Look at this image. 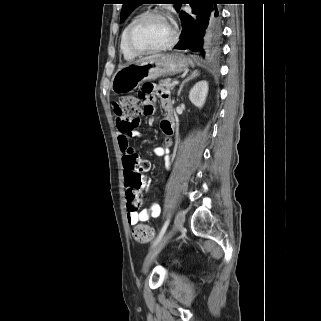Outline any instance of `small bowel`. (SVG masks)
<instances>
[{
	"label": "small bowel",
	"instance_id": "small-bowel-1",
	"mask_svg": "<svg viewBox=\"0 0 321 321\" xmlns=\"http://www.w3.org/2000/svg\"><path fill=\"white\" fill-rule=\"evenodd\" d=\"M135 96L137 98L145 97L147 102L155 101V97H159L162 107L166 112L165 118L161 122V130L164 135L169 138L174 133L175 119L173 115V105L169 95V92L164 89L157 88L154 82H149L145 80L140 89L136 90ZM116 105L114 106V112L116 113ZM140 125L138 121L125 120L116 113V129H117V141L119 149L122 153L123 165L131 157L138 156L136 151L130 146L129 142L131 139L139 138L141 133L138 130ZM170 145V140L167 139L164 146L156 147L154 153L157 156H165L166 167H169V157H168V147ZM161 207L158 203H153L149 209H143L140 211L129 210L127 212L126 218L129 225H137L140 222L149 221L152 218H157L160 216Z\"/></svg>",
	"mask_w": 321,
	"mask_h": 321
}]
</instances>
